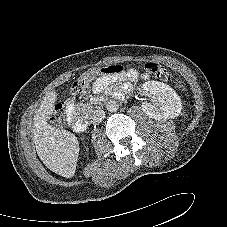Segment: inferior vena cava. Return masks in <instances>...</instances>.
<instances>
[{"instance_id": "1", "label": "inferior vena cava", "mask_w": 227, "mask_h": 227, "mask_svg": "<svg viewBox=\"0 0 227 227\" xmlns=\"http://www.w3.org/2000/svg\"><path fill=\"white\" fill-rule=\"evenodd\" d=\"M104 118H105V111L102 109L95 110L90 116L91 122L93 124H99L104 120Z\"/></svg>"}]
</instances>
